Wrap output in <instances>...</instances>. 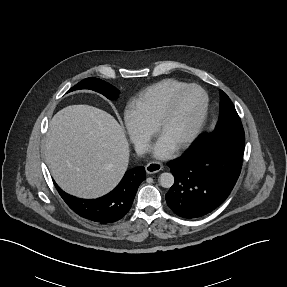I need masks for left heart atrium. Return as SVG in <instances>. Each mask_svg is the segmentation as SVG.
<instances>
[{
  "instance_id": "left-heart-atrium-1",
  "label": "left heart atrium",
  "mask_w": 287,
  "mask_h": 287,
  "mask_svg": "<svg viewBox=\"0 0 287 287\" xmlns=\"http://www.w3.org/2000/svg\"><path fill=\"white\" fill-rule=\"evenodd\" d=\"M171 150H172L171 147L159 141L155 145L153 153L156 157L163 158V157H167L171 153Z\"/></svg>"
}]
</instances>
